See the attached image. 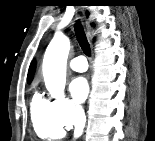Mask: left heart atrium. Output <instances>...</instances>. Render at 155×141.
I'll return each instance as SVG.
<instances>
[{
  "label": "left heart atrium",
  "mask_w": 155,
  "mask_h": 141,
  "mask_svg": "<svg viewBox=\"0 0 155 141\" xmlns=\"http://www.w3.org/2000/svg\"><path fill=\"white\" fill-rule=\"evenodd\" d=\"M70 92L77 103L83 102L89 92L87 80L84 77L75 78L70 84Z\"/></svg>",
  "instance_id": "left-heart-atrium-1"
}]
</instances>
